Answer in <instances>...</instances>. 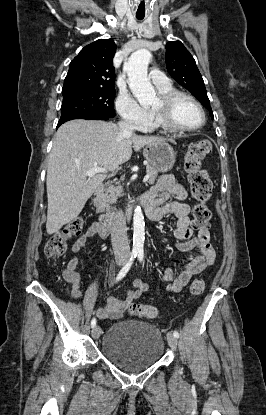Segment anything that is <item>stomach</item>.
<instances>
[{
    "label": "stomach",
    "mask_w": 266,
    "mask_h": 415,
    "mask_svg": "<svg viewBox=\"0 0 266 415\" xmlns=\"http://www.w3.org/2000/svg\"><path fill=\"white\" fill-rule=\"evenodd\" d=\"M147 161L159 172H167L172 169L176 153L166 141L154 142L146 145L143 151Z\"/></svg>",
    "instance_id": "1"
}]
</instances>
